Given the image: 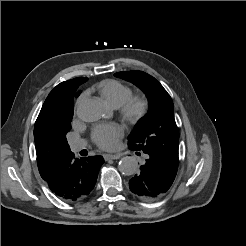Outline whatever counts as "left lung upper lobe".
Instances as JSON below:
<instances>
[{"mask_svg":"<svg viewBox=\"0 0 246 246\" xmlns=\"http://www.w3.org/2000/svg\"><path fill=\"white\" fill-rule=\"evenodd\" d=\"M138 86L147 96L149 110L128 137L131 150L154 151L178 162L179 131L170 95L152 76L142 71L115 74Z\"/></svg>","mask_w":246,"mask_h":246,"instance_id":"left-lung-upper-lobe-1","label":"left lung upper lobe"}]
</instances>
